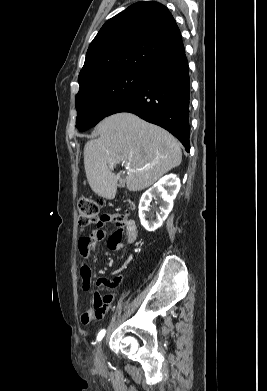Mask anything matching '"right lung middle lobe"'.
<instances>
[{
  "label": "right lung middle lobe",
  "instance_id": "1",
  "mask_svg": "<svg viewBox=\"0 0 267 391\" xmlns=\"http://www.w3.org/2000/svg\"><path fill=\"white\" fill-rule=\"evenodd\" d=\"M146 73L120 71L88 80L76 95V127L85 131L108 116L143 84Z\"/></svg>",
  "mask_w": 267,
  "mask_h": 391
}]
</instances>
